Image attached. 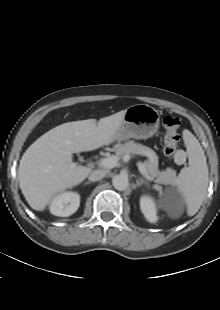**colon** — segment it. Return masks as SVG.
<instances>
[{
    "instance_id": "colon-1",
    "label": "colon",
    "mask_w": 220,
    "mask_h": 310,
    "mask_svg": "<svg viewBox=\"0 0 220 310\" xmlns=\"http://www.w3.org/2000/svg\"><path fill=\"white\" fill-rule=\"evenodd\" d=\"M180 125V119L176 116L168 115L163 118L164 153L172 157L177 163H183L186 159L185 153L179 148Z\"/></svg>"
}]
</instances>
